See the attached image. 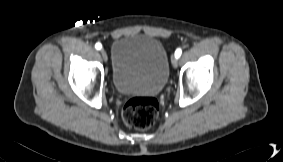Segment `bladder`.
<instances>
[{
	"label": "bladder",
	"mask_w": 283,
	"mask_h": 162,
	"mask_svg": "<svg viewBox=\"0 0 283 162\" xmlns=\"http://www.w3.org/2000/svg\"><path fill=\"white\" fill-rule=\"evenodd\" d=\"M169 78V59L155 37L131 34L118 38L112 46L111 79L122 95H156Z\"/></svg>",
	"instance_id": "obj_1"
}]
</instances>
